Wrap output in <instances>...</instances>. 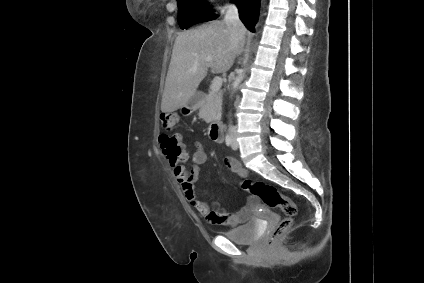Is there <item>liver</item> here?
Instances as JSON below:
<instances>
[{"mask_svg":"<svg viewBox=\"0 0 424 283\" xmlns=\"http://www.w3.org/2000/svg\"><path fill=\"white\" fill-rule=\"evenodd\" d=\"M244 37L235 48L224 21L215 20L176 37L162 95L161 111L170 113L188 104L196 94L208 68L228 71L242 52Z\"/></svg>","mask_w":424,"mask_h":283,"instance_id":"1","label":"liver"}]
</instances>
